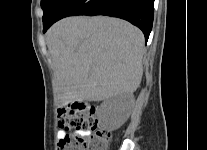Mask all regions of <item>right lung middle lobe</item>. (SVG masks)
Instances as JSON below:
<instances>
[{"mask_svg": "<svg viewBox=\"0 0 207 150\" xmlns=\"http://www.w3.org/2000/svg\"><path fill=\"white\" fill-rule=\"evenodd\" d=\"M64 0H41V7L43 9V23L48 22L54 16L55 12Z\"/></svg>", "mask_w": 207, "mask_h": 150, "instance_id": "1", "label": "right lung middle lobe"}]
</instances>
